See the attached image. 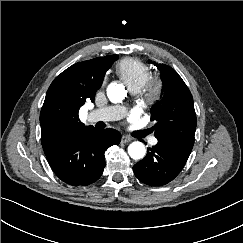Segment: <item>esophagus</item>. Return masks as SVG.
<instances>
[{
    "label": "esophagus",
    "mask_w": 243,
    "mask_h": 243,
    "mask_svg": "<svg viewBox=\"0 0 243 243\" xmlns=\"http://www.w3.org/2000/svg\"><path fill=\"white\" fill-rule=\"evenodd\" d=\"M131 140H132V138L129 137V136H127V135H123V136L121 137V142H122V143H129Z\"/></svg>",
    "instance_id": "obj_1"
}]
</instances>
